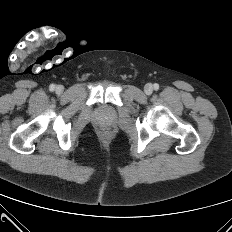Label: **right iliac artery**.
Here are the masks:
<instances>
[{"mask_svg":"<svg viewBox=\"0 0 232 232\" xmlns=\"http://www.w3.org/2000/svg\"><path fill=\"white\" fill-rule=\"evenodd\" d=\"M49 88H50L51 91H53L55 89V85L51 84Z\"/></svg>","mask_w":232,"mask_h":232,"instance_id":"obj_1","label":"right iliac artery"}]
</instances>
